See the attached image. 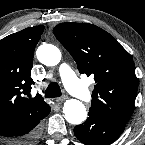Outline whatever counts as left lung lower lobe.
<instances>
[{"instance_id": "1", "label": "left lung lower lobe", "mask_w": 145, "mask_h": 145, "mask_svg": "<svg viewBox=\"0 0 145 145\" xmlns=\"http://www.w3.org/2000/svg\"><path fill=\"white\" fill-rule=\"evenodd\" d=\"M125 125L89 112V118L74 128L76 137L86 145H109L123 132Z\"/></svg>"}]
</instances>
